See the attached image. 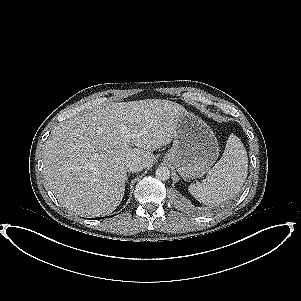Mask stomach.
<instances>
[{"label": "stomach", "instance_id": "1", "mask_svg": "<svg viewBox=\"0 0 301 301\" xmlns=\"http://www.w3.org/2000/svg\"><path fill=\"white\" fill-rule=\"evenodd\" d=\"M219 151L213 131L196 116L185 113L178 122L173 145L164 158L181 177L195 179L212 167Z\"/></svg>", "mask_w": 301, "mask_h": 301}]
</instances>
